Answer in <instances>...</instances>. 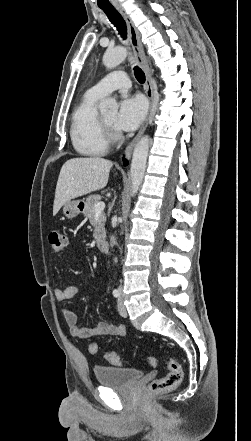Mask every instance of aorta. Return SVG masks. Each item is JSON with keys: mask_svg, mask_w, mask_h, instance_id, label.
<instances>
[{"mask_svg": "<svg viewBox=\"0 0 251 441\" xmlns=\"http://www.w3.org/2000/svg\"><path fill=\"white\" fill-rule=\"evenodd\" d=\"M126 56H127L126 49L121 47L112 50H107L103 55V64L107 68L112 69L117 65H119L126 58ZM99 110L103 114H115L118 111V104L115 99L108 98L102 103H100ZM148 152H149V137L146 135L139 140V142L135 145L133 151L131 168H130L132 196H134L138 192L143 182Z\"/></svg>", "mask_w": 251, "mask_h": 441, "instance_id": "762f6f07", "label": "aorta"}]
</instances>
